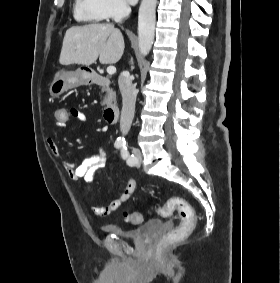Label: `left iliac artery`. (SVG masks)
I'll list each match as a JSON object with an SVG mask.
<instances>
[{
  "instance_id": "44dca946",
  "label": "left iliac artery",
  "mask_w": 280,
  "mask_h": 283,
  "mask_svg": "<svg viewBox=\"0 0 280 283\" xmlns=\"http://www.w3.org/2000/svg\"><path fill=\"white\" fill-rule=\"evenodd\" d=\"M121 156L123 159L126 160L128 165H134L136 162L135 156L133 154L132 155L129 154L127 147L125 145L121 148Z\"/></svg>"
}]
</instances>
